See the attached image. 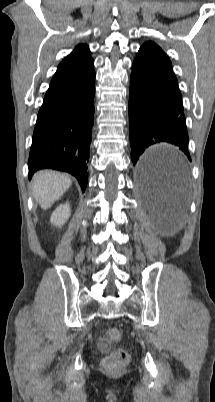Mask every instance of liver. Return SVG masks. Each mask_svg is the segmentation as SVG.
<instances>
[{"label":"liver","mask_w":215,"mask_h":402,"mask_svg":"<svg viewBox=\"0 0 215 402\" xmlns=\"http://www.w3.org/2000/svg\"><path fill=\"white\" fill-rule=\"evenodd\" d=\"M71 180L68 175L52 170L37 172L32 180V196L44 210L50 208L68 188Z\"/></svg>","instance_id":"obj_1"}]
</instances>
